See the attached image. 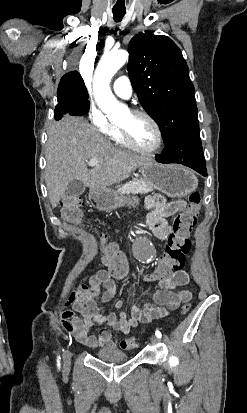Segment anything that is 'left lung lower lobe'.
<instances>
[{"label": "left lung lower lobe", "mask_w": 247, "mask_h": 413, "mask_svg": "<svg viewBox=\"0 0 247 413\" xmlns=\"http://www.w3.org/2000/svg\"><path fill=\"white\" fill-rule=\"evenodd\" d=\"M156 160L164 164H182L207 176L200 136H182L171 140L161 155H156Z\"/></svg>", "instance_id": "1"}]
</instances>
